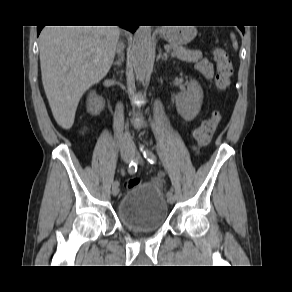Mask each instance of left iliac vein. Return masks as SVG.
I'll use <instances>...</instances> for the list:
<instances>
[{
  "label": "left iliac vein",
  "instance_id": "1",
  "mask_svg": "<svg viewBox=\"0 0 292 292\" xmlns=\"http://www.w3.org/2000/svg\"><path fill=\"white\" fill-rule=\"evenodd\" d=\"M138 160L141 161L140 156H138ZM167 200H168V202H169L170 204H173V203L175 202V197H174V195L172 194V195H170V196H167Z\"/></svg>",
  "mask_w": 292,
  "mask_h": 292
}]
</instances>
